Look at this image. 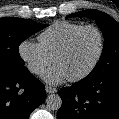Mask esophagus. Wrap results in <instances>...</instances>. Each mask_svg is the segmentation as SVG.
Instances as JSON below:
<instances>
[{
	"mask_svg": "<svg viewBox=\"0 0 119 119\" xmlns=\"http://www.w3.org/2000/svg\"><path fill=\"white\" fill-rule=\"evenodd\" d=\"M45 90H46V93H48V94H52V93H56L57 92V89L53 88L51 86H46Z\"/></svg>",
	"mask_w": 119,
	"mask_h": 119,
	"instance_id": "obj_1",
	"label": "esophagus"
}]
</instances>
